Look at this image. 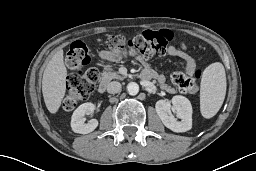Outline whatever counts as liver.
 <instances>
[{
	"mask_svg": "<svg viewBox=\"0 0 256 171\" xmlns=\"http://www.w3.org/2000/svg\"><path fill=\"white\" fill-rule=\"evenodd\" d=\"M67 69L63 50H58L48 62L42 78V93L48 111L55 114L65 96Z\"/></svg>",
	"mask_w": 256,
	"mask_h": 171,
	"instance_id": "1",
	"label": "liver"
}]
</instances>
